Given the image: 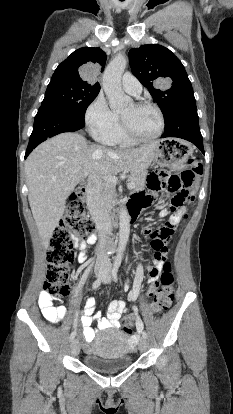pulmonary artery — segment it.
<instances>
[{"mask_svg":"<svg viewBox=\"0 0 233 414\" xmlns=\"http://www.w3.org/2000/svg\"><path fill=\"white\" fill-rule=\"evenodd\" d=\"M121 86L127 93L139 96L142 91V85L139 80L130 72H126L121 79Z\"/></svg>","mask_w":233,"mask_h":414,"instance_id":"obj_1","label":"pulmonary artery"}]
</instances>
